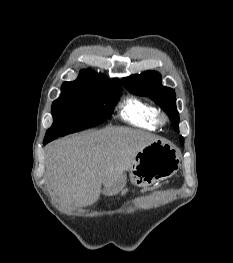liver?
<instances>
[{"instance_id":"liver-1","label":"liver","mask_w":233,"mask_h":263,"mask_svg":"<svg viewBox=\"0 0 233 263\" xmlns=\"http://www.w3.org/2000/svg\"><path fill=\"white\" fill-rule=\"evenodd\" d=\"M157 139L141 130L108 127L56 140L46 150L48 183L62 204L92 205L102 185L110 189L121 182L137 152Z\"/></svg>"}]
</instances>
